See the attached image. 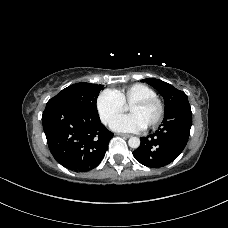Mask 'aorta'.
<instances>
[{"label": "aorta", "mask_w": 228, "mask_h": 228, "mask_svg": "<svg viewBox=\"0 0 228 228\" xmlns=\"http://www.w3.org/2000/svg\"><path fill=\"white\" fill-rule=\"evenodd\" d=\"M128 145L133 149H137L140 146V139L138 137H131L128 140Z\"/></svg>", "instance_id": "obj_1"}]
</instances>
